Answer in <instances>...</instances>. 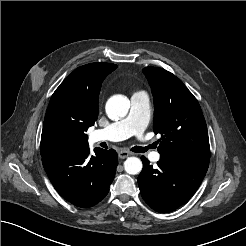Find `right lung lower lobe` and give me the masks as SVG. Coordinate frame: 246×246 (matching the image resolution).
I'll list each match as a JSON object with an SVG mask.
<instances>
[{
  "label": "right lung lower lobe",
  "instance_id": "obj_1",
  "mask_svg": "<svg viewBox=\"0 0 246 246\" xmlns=\"http://www.w3.org/2000/svg\"><path fill=\"white\" fill-rule=\"evenodd\" d=\"M89 146H68L42 156L44 169L57 192L70 203L87 208L100 202L108 193L116 167L115 150Z\"/></svg>",
  "mask_w": 246,
  "mask_h": 246
}]
</instances>
